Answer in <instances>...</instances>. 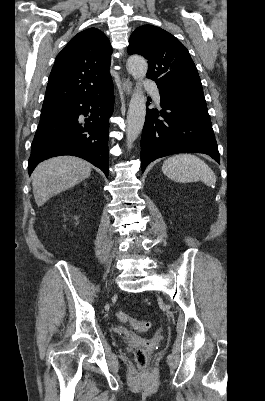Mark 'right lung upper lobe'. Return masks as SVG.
<instances>
[{
	"mask_svg": "<svg viewBox=\"0 0 265 401\" xmlns=\"http://www.w3.org/2000/svg\"><path fill=\"white\" fill-rule=\"evenodd\" d=\"M111 53L108 38L96 28L74 36L55 59L43 107L65 104L105 88L112 82L108 73Z\"/></svg>",
	"mask_w": 265,
	"mask_h": 401,
	"instance_id": "obj_1",
	"label": "right lung upper lobe"
}]
</instances>
